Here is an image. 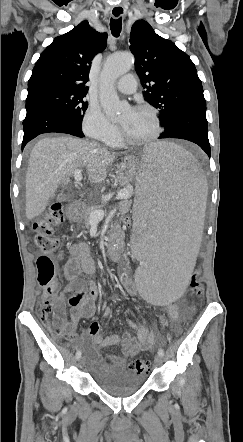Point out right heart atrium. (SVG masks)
Returning a JSON list of instances; mask_svg holds the SVG:
<instances>
[{
  "instance_id": "1",
  "label": "right heart atrium",
  "mask_w": 243,
  "mask_h": 442,
  "mask_svg": "<svg viewBox=\"0 0 243 442\" xmlns=\"http://www.w3.org/2000/svg\"><path fill=\"white\" fill-rule=\"evenodd\" d=\"M82 130L91 139L110 143L118 136V128L106 116L100 106L90 104L82 120Z\"/></svg>"
}]
</instances>
